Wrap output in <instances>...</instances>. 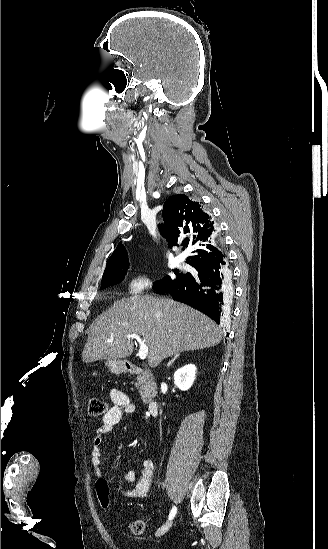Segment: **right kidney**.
<instances>
[{
    "label": "right kidney",
    "instance_id": "ca27d5eb",
    "mask_svg": "<svg viewBox=\"0 0 328 549\" xmlns=\"http://www.w3.org/2000/svg\"><path fill=\"white\" fill-rule=\"evenodd\" d=\"M195 377V365H185V367H181L174 373V383L180 391H188L192 387Z\"/></svg>",
    "mask_w": 328,
    "mask_h": 549
}]
</instances>
